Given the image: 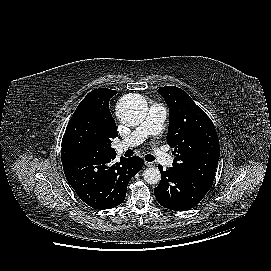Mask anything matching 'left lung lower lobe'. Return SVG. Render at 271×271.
Wrapping results in <instances>:
<instances>
[{
	"instance_id": "1",
	"label": "left lung lower lobe",
	"mask_w": 271,
	"mask_h": 271,
	"mask_svg": "<svg viewBox=\"0 0 271 271\" xmlns=\"http://www.w3.org/2000/svg\"><path fill=\"white\" fill-rule=\"evenodd\" d=\"M158 168L162 178L154 193L157 201L165 208L187 211L196 206L211 188L177 167L163 170L159 165Z\"/></svg>"
}]
</instances>
